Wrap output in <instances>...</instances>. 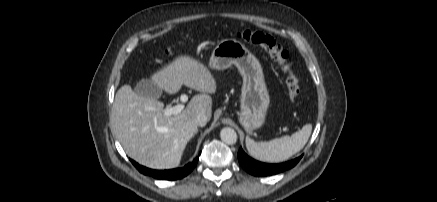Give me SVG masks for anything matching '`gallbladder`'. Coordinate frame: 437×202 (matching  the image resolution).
I'll use <instances>...</instances> for the list:
<instances>
[{"instance_id": "1", "label": "gallbladder", "mask_w": 437, "mask_h": 202, "mask_svg": "<svg viewBox=\"0 0 437 202\" xmlns=\"http://www.w3.org/2000/svg\"><path fill=\"white\" fill-rule=\"evenodd\" d=\"M134 91L139 96L153 99L159 98L162 93V90L150 79L140 80L136 84Z\"/></svg>"}]
</instances>
